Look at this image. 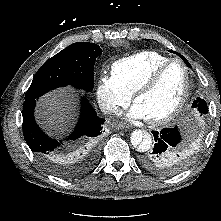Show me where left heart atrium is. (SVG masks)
<instances>
[{"label":"left heart atrium","mask_w":221,"mask_h":221,"mask_svg":"<svg viewBox=\"0 0 221 221\" xmlns=\"http://www.w3.org/2000/svg\"><path fill=\"white\" fill-rule=\"evenodd\" d=\"M131 119H148L144 111L137 104H134L128 113Z\"/></svg>","instance_id":"obj_1"}]
</instances>
